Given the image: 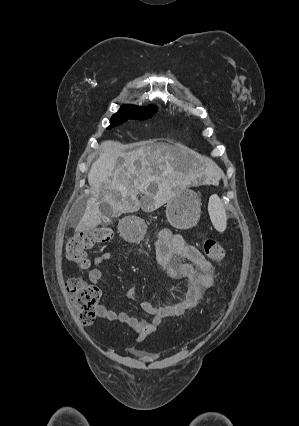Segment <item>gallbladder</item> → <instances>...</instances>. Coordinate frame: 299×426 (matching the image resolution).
<instances>
[{
	"instance_id": "obj_1",
	"label": "gallbladder",
	"mask_w": 299,
	"mask_h": 426,
	"mask_svg": "<svg viewBox=\"0 0 299 426\" xmlns=\"http://www.w3.org/2000/svg\"><path fill=\"white\" fill-rule=\"evenodd\" d=\"M100 211H101L102 216H103V223L106 224V225L110 224L111 223V217L114 214L113 208L109 204L103 203L100 206Z\"/></svg>"
}]
</instances>
